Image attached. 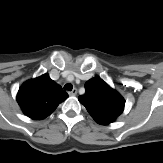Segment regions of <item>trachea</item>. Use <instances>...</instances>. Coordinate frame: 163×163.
Returning <instances> with one entry per match:
<instances>
[{
  "instance_id": "trachea-1",
  "label": "trachea",
  "mask_w": 163,
  "mask_h": 163,
  "mask_svg": "<svg viewBox=\"0 0 163 163\" xmlns=\"http://www.w3.org/2000/svg\"><path fill=\"white\" fill-rule=\"evenodd\" d=\"M73 89V85L72 84H65L64 85V90H67V91H71Z\"/></svg>"
}]
</instances>
